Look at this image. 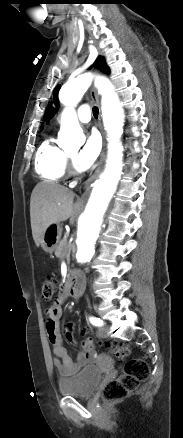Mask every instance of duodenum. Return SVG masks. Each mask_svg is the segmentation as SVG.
Masks as SVG:
<instances>
[{
  "label": "duodenum",
  "instance_id": "obj_1",
  "mask_svg": "<svg viewBox=\"0 0 183 438\" xmlns=\"http://www.w3.org/2000/svg\"><path fill=\"white\" fill-rule=\"evenodd\" d=\"M68 290L72 297L79 299L82 294L83 284L82 280L76 274H73L67 284Z\"/></svg>",
  "mask_w": 183,
  "mask_h": 438
}]
</instances>
